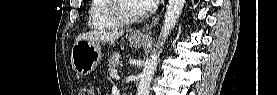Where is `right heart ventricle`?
I'll return each instance as SVG.
<instances>
[{
  "mask_svg": "<svg viewBox=\"0 0 277 95\" xmlns=\"http://www.w3.org/2000/svg\"><path fill=\"white\" fill-rule=\"evenodd\" d=\"M111 0H92L89 10V26L93 29H114L120 22L109 15Z\"/></svg>",
  "mask_w": 277,
  "mask_h": 95,
  "instance_id": "right-heart-ventricle-1",
  "label": "right heart ventricle"
}]
</instances>
